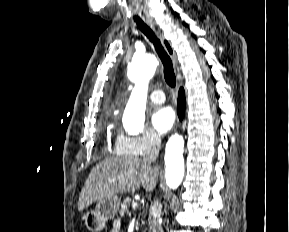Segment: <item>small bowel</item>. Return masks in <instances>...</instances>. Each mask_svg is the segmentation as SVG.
Returning a JSON list of instances; mask_svg holds the SVG:
<instances>
[{"label":"small bowel","mask_w":289,"mask_h":232,"mask_svg":"<svg viewBox=\"0 0 289 232\" xmlns=\"http://www.w3.org/2000/svg\"><path fill=\"white\" fill-rule=\"evenodd\" d=\"M109 232H120V224L118 222H114Z\"/></svg>","instance_id":"1"}]
</instances>
